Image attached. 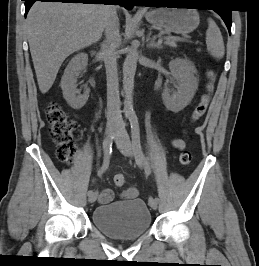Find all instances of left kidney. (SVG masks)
<instances>
[{
	"instance_id": "left-kidney-1",
	"label": "left kidney",
	"mask_w": 259,
	"mask_h": 266,
	"mask_svg": "<svg viewBox=\"0 0 259 266\" xmlns=\"http://www.w3.org/2000/svg\"><path fill=\"white\" fill-rule=\"evenodd\" d=\"M169 69L176 90H171L165 84L162 99L169 111L177 113L191 102L198 89L196 68L190 60L176 58L169 63Z\"/></svg>"
}]
</instances>
